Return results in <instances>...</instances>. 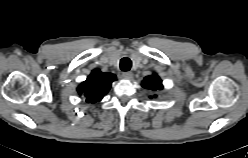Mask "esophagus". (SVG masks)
I'll use <instances>...</instances> for the list:
<instances>
[{
  "instance_id": "esophagus-1",
  "label": "esophagus",
  "mask_w": 248,
  "mask_h": 158,
  "mask_svg": "<svg viewBox=\"0 0 248 158\" xmlns=\"http://www.w3.org/2000/svg\"><path fill=\"white\" fill-rule=\"evenodd\" d=\"M122 77H123L124 79L129 80V79L132 78V73H131V72H123V73H122Z\"/></svg>"
}]
</instances>
